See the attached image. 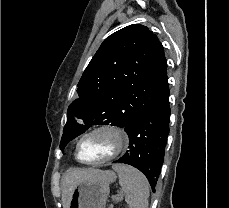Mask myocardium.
I'll use <instances>...</instances> for the list:
<instances>
[{
	"label": "myocardium",
	"instance_id": "1",
	"mask_svg": "<svg viewBox=\"0 0 229 208\" xmlns=\"http://www.w3.org/2000/svg\"><path fill=\"white\" fill-rule=\"evenodd\" d=\"M87 135L88 138H85ZM104 138H105L104 141L106 143H111L112 147H119L118 150L113 154L101 158L99 160L87 161L81 158L79 149L83 139L85 143H90L91 141L93 143L95 142L100 143L102 141L101 139ZM128 145H129V136L127 132L124 130V128L114 124L104 123L90 128L78 138L75 145V157L80 163L83 164L95 165V164L105 163L119 157L127 149Z\"/></svg>",
	"mask_w": 229,
	"mask_h": 208
}]
</instances>
